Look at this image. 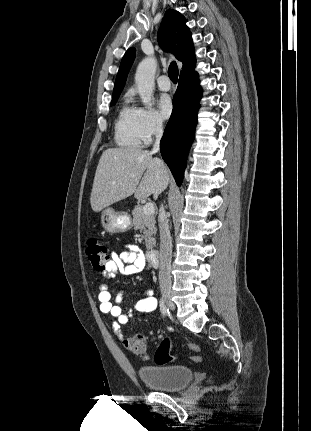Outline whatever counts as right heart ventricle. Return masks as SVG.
Instances as JSON below:
<instances>
[{"instance_id":"right-heart-ventricle-1","label":"right heart ventricle","mask_w":311,"mask_h":431,"mask_svg":"<svg viewBox=\"0 0 311 431\" xmlns=\"http://www.w3.org/2000/svg\"><path fill=\"white\" fill-rule=\"evenodd\" d=\"M114 140L122 148L138 149L144 140V130L138 109L123 104L114 123Z\"/></svg>"}]
</instances>
